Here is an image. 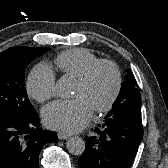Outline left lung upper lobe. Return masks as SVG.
<instances>
[{
  "label": "left lung upper lobe",
  "instance_id": "left-lung-upper-lobe-1",
  "mask_svg": "<svg viewBox=\"0 0 168 168\" xmlns=\"http://www.w3.org/2000/svg\"><path fill=\"white\" fill-rule=\"evenodd\" d=\"M126 81L121 86L120 93L108 114L129 110L141 111V95L133 73L127 69Z\"/></svg>",
  "mask_w": 168,
  "mask_h": 168
}]
</instances>
